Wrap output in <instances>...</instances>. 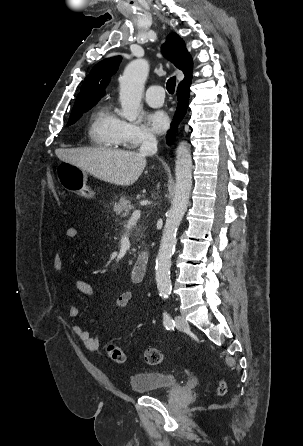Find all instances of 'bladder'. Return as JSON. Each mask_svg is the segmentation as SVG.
<instances>
[{
	"instance_id": "31cf9c89",
	"label": "bladder",
	"mask_w": 303,
	"mask_h": 446,
	"mask_svg": "<svg viewBox=\"0 0 303 446\" xmlns=\"http://www.w3.org/2000/svg\"><path fill=\"white\" fill-rule=\"evenodd\" d=\"M179 386L177 377L160 371H145L130 378V388L135 394H150L167 391Z\"/></svg>"
}]
</instances>
